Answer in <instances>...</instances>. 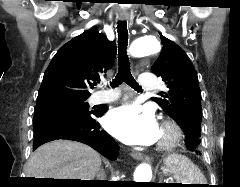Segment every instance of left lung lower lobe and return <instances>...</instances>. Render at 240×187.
<instances>
[{
    "mask_svg": "<svg viewBox=\"0 0 240 187\" xmlns=\"http://www.w3.org/2000/svg\"><path fill=\"white\" fill-rule=\"evenodd\" d=\"M186 134V146L189 150L191 151H195L196 153H198V150H193L192 146L195 144V140H196V135L194 132L189 131V132H185Z\"/></svg>",
    "mask_w": 240,
    "mask_h": 187,
    "instance_id": "left-lung-lower-lobe-1",
    "label": "left lung lower lobe"
}]
</instances>
